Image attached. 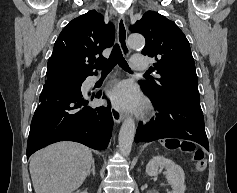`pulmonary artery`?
<instances>
[{"mask_svg": "<svg viewBox=\"0 0 237 193\" xmlns=\"http://www.w3.org/2000/svg\"><path fill=\"white\" fill-rule=\"evenodd\" d=\"M130 65L132 69L137 71H144L147 69V61L143 56H132L130 59ZM98 80L97 77L93 78V82Z\"/></svg>", "mask_w": 237, "mask_h": 193, "instance_id": "1", "label": "pulmonary artery"}]
</instances>
